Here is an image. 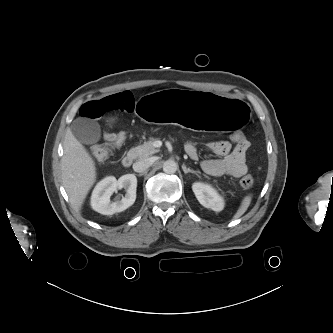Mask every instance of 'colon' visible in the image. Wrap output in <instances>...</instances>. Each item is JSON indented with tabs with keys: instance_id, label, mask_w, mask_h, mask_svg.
<instances>
[{
	"instance_id": "1",
	"label": "colon",
	"mask_w": 333,
	"mask_h": 333,
	"mask_svg": "<svg viewBox=\"0 0 333 333\" xmlns=\"http://www.w3.org/2000/svg\"><path fill=\"white\" fill-rule=\"evenodd\" d=\"M230 139H231V141H233L236 144L246 141L245 135L241 131H238V130H235L230 134ZM107 140L110 143L108 146L107 145H97L91 149V153H92L93 157L98 161L106 160L110 156L113 148L121 146L126 140V133L120 132L118 134H113ZM253 184H254V178L252 175L247 174L242 177L241 185L244 188H246V189L251 188L253 186Z\"/></svg>"
}]
</instances>
